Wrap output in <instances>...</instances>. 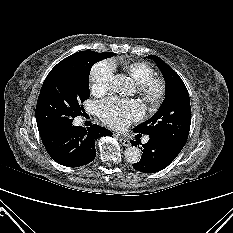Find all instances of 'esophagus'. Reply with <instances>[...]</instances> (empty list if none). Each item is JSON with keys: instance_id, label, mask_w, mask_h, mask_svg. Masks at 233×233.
<instances>
[{"instance_id": "34e87169", "label": "esophagus", "mask_w": 233, "mask_h": 233, "mask_svg": "<svg viewBox=\"0 0 233 233\" xmlns=\"http://www.w3.org/2000/svg\"><path fill=\"white\" fill-rule=\"evenodd\" d=\"M119 141L124 146H129L130 145V141L125 137L119 136Z\"/></svg>"}]
</instances>
